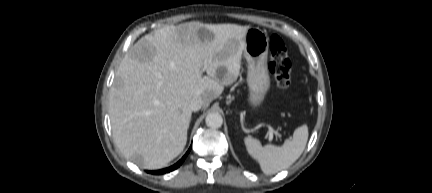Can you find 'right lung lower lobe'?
Listing matches in <instances>:
<instances>
[{"label": "right lung lower lobe", "mask_w": 432, "mask_h": 193, "mask_svg": "<svg viewBox=\"0 0 432 193\" xmlns=\"http://www.w3.org/2000/svg\"><path fill=\"white\" fill-rule=\"evenodd\" d=\"M190 149H191V147H190ZM190 149H189V150L187 151V153L182 157V159L179 160V161H178L176 164H174L173 166H171V167H169V168L162 169V170L149 171V173H151V174H164V173L170 172V171H172V170H174V169H177V168L182 164V162L185 160V158L187 157V155H188Z\"/></svg>", "instance_id": "1"}]
</instances>
